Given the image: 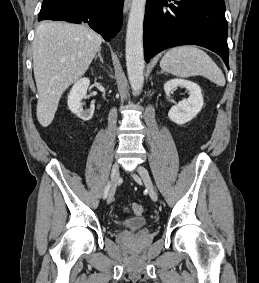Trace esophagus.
Listing matches in <instances>:
<instances>
[{"instance_id": "obj_1", "label": "esophagus", "mask_w": 259, "mask_h": 283, "mask_svg": "<svg viewBox=\"0 0 259 283\" xmlns=\"http://www.w3.org/2000/svg\"><path fill=\"white\" fill-rule=\"evenodd\" d=\"M131 6V0L124 1V13L126 14Z\"/></svg>"}]
</instances>
